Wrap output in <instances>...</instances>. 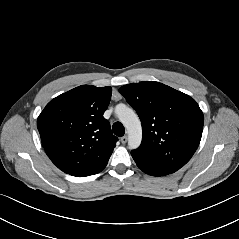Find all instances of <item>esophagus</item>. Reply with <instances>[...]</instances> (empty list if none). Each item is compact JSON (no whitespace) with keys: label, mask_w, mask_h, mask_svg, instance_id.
<instances>
[{"label":"esophagus","mask_w":239,"mask_h":239,"mask_svg":"<svg viewBox=\"0 0 239 239\" xmlns=\"http://www.w3.org/2000/svg\"><path fill=\"white\" fill-rule=\"evenodd\" d=\"M127 140H128V137H127V136H123V137H121V139H120V141H121L122 144H125V143L127 142Z\"/></svg>","instance_id":"obj_1"}]
</instances>
